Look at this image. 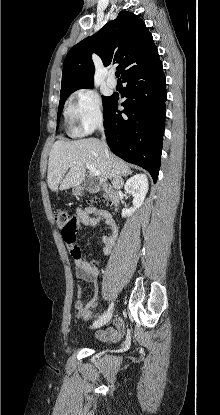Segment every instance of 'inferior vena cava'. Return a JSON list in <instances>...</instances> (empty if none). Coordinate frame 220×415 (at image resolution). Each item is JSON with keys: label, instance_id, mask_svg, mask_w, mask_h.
<instances>
[{"label": "inferior vena cava", "instance_id": "602c4592", "mask_svg": "<svg viewBox=\"0 0 220 415\" xmlns=\"http://www.w3.org/2000/svg\"><path fill=\"white\" fill-rule=\"evenodd\" d=\"M99 129L102 132V136H103L102 139H103V143L105 145V154L108 157L109 156V152H108V148H107V145H106V142H105V137L103 135L102 126H100ZM121 180H122L121 176H116V177L113 178L112 185H113V187L115 189H118L119 188V183L121 182Z\"/></svg>", "mask_w": 220, "mask_h": 415}]
</instances>
